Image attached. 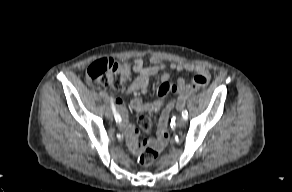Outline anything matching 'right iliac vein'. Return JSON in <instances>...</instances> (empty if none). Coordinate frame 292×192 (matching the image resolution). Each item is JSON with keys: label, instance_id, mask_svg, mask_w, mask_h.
Here are the masks:
<instances>
[{"label": "right iliac vein", "instance_id": "obj_1", "mask_svg": "<svg viewBox=\"0 0 292 192\" xmlns=\"http://www.w3.org/2000/svg\"><path fill=\"white\" fill-rule=\"evenodd\" d=\"M105 116H106L108 119H112V117H113L111 111H109V110L106 111Z\"/></svg>", "mask_w": 292, "mask_h": 192}]
</instances>
